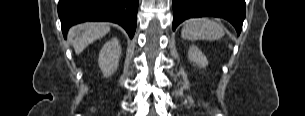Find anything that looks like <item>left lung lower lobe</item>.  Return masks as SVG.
<instances>
[{"label": "left lung lower lobe", "mask_w": 305, "mask_h": 116, "mask_svg": "<svg viewBox=\"0 0 305 116\" xmlns=\"http://www.w3.org/2000/svg\"><path fill=\"white\" fill-rule=\"evenodd\" d=\"M202 16L224 18L240 34L245 18V0H173V30L188 18Z\"/></svg>", "instance_id": "left-lung-lower-lobe-1"}]
</instances>
